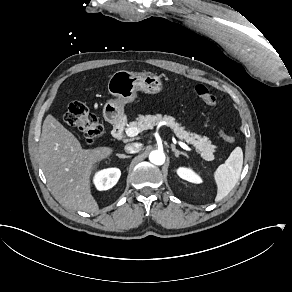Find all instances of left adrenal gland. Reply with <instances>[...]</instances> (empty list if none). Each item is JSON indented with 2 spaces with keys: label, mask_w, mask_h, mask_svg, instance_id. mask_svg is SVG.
Segmentation results:
<instances>
[{
  "label": "left adrenal gland",
  "mask_w": 292,
  "mask_h": 292,
  "mask_svg": "<svg viewBox=\"0 0 292 292\" xmlns=\"http://www.w3.org/2000/svg\"><path fill=\"white\" fill-rule=\"evenodd\" d=\"M171 148H172V151L175 153L176 157H179V155H184V156L188 157V155L185 152H181V151L177 150L175 148L174 144H171Z\"/></svg>",
  "instance_id": "1"
}]
</instances>
